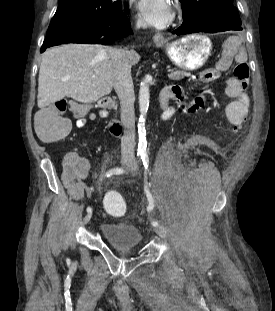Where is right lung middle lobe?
I'll return each instance as SVG.
<instances>
[{
	"label": "right lung middle lobe",
	"instance_id": "1",
	"mask_svg": "<svg viewBox=\"0 0 275 311\" xmlns=\"http://www.w3.org/2000/svg\"><path fill=\"white\" fill-rule=\"evenodd\" d=\"M120 1L114 0H59L58 9L49 25L48 33L56 28L112 15L121 10Z\"/></svg>",
	"mask_w": 275,
	"mask_h": 311
}]
</instances>
